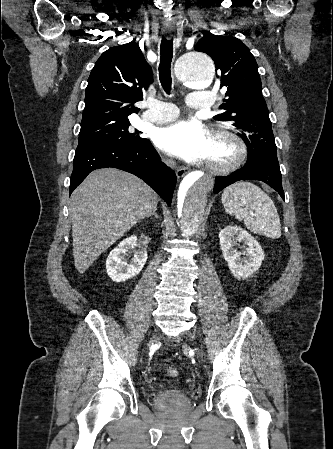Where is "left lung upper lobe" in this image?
<instances>
[{
    "label": "left lung upper lobe",
    "instance_id": "1",
    "mask_svg": "<svg viewBox=\"0 0 333 449\" xmlns=\"http://www.w3.org/2000/svg\"><path fill=\"white\" fill-rule=\"evenodd\" d=\"M195 50L214 60L220 88H227L221 105L226 112L213 119L227 122L244 140L248 148L246 164H278L257 62L249 48L236 37L205 32Z\"/></svg>",
    "mask_w": 333,
    "mask_h": 449
}]
</instances>
